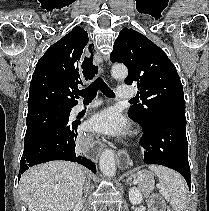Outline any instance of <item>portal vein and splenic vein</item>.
I'll list each match as a JSON object with an SVG mask.
<instances>
[{"instance_id":"18ae733b","label":"portal vein and splenic vein","mask_w":209,"mask_h":211,"mask_svg":"<svg viewBox=\"0 0 209 211\" xmlns=\"http://www.w3.org/2000/svg\"><path fill=\"white\" fill-rule=\"evenodd\" d=\"M160 192L165 195V190L161 189Z\"/></svg>"}]
</instances>
